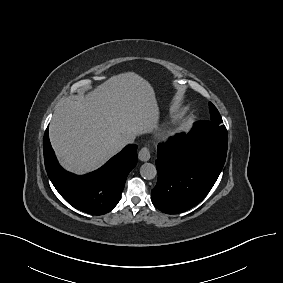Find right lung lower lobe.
Returning a JSON list of instances; mask_svg holds the SVG:
<instances>
[{"instance_id":"1","label":"right lung lower lobe","mask_w":283,"mask_h":283,"mask_svg":"<svg viewBox=\"0 0 283 283\" xmlns=\"http://www.w3.org/2000/svg\"><path fill=\"white\" fill-rule=\"evenodd\" d=\"M43 151L45 168L56 190L74 208L93 215L108 213L118 204L126 178L137 163V145L131 144L98 170L83 176L74 175L58 164L48 128Z\"/></svg>"}]
</instances>
